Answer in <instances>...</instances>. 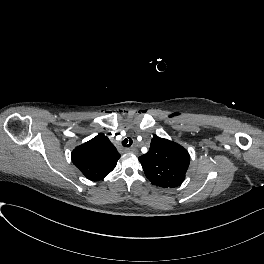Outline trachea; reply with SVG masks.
Returning a JSON list of instances; mask_svg holds the SVG:
<instances>
[{"label": "trachea", "instance_id": "1", "mask_svg": "<svg viewBox=\"0 0 264 264\" xmlns=\"http://www.w3.org/2000/svg\"><path fill=\"white\" fill-rule=\"evenodd\" d=\"M132 143H133V140L130 137H128L122 141V145L124 147H130L132 145Z\"/></svg>", "mask_w": 264, "mask_h": 264}]
</instances>
